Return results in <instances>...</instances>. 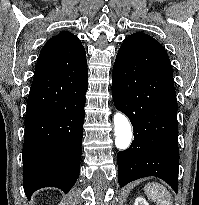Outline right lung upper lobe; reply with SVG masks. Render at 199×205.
<instances>
[{
	"label": "right lung upper lobe",
	"mask_w": 199,
	"mask_h": 205,
	"mask_svg": "<svg viewBox=\"0 0 199 205\" xmlns=\"http://www.w3.org/2000/svg\"><path fill=\"white\" fill-rule=\"evenodd\" d=\"M88 74L85 49L68 31L50 38L43 46L34 72L33 82L46 81L50 90H61L65 78Z\"/></svg>",
	"instance_id": "right-lung-upper-lobe-1"
}]
</instances>
